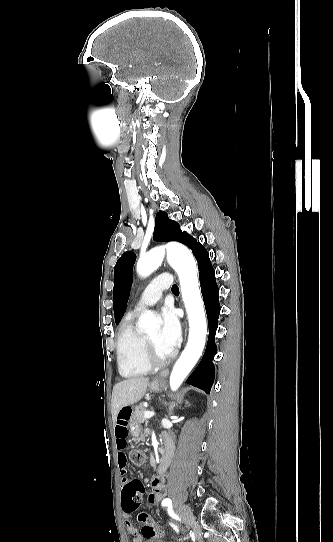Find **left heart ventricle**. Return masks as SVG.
Listing matches in <instances>:
<instances>
[{
    "label": "left heart ventricle",
    "instance_id": "left-heart-ventricle-1",
    "mask_svg": "<svg viewBox=\"0 0 333 542\" xmlns=\"http://www.w3.org/2000/svg\"><path fill=\"white\" fill-rule=\"evenodd\" d=\"M146 337L151 342L154 351L159 358H167L171 355L167 348L163 344H161L159 331L153 332Z\"/></svg>",
    "mask_w": 333,
    "mask_h": 542
}]
</instances>
